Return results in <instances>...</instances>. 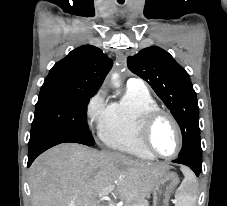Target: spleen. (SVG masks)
<instances>
[{
    "mask_svg": "<svg viewBox=\"0 0 227 206\" xmlns=\"http://www.w3.org/2000/svg\"><path fill=\"white\" fill-rule=\"evenodd\" d=\"M194 178L185 172V179L176 193V206H194L196 196L194 194Z\"/></svg>",
    "mask_w": 227,
    "mask_h": 206,
    "instance_id": "spleen-1",
    "label": "spleen"
}]
</instances>
